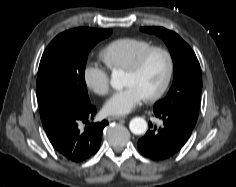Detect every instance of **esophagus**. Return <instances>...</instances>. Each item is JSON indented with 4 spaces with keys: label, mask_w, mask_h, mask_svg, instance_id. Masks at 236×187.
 I'll return each mask as SVG.
<instances>
[{
    "label": "esophagus",
    "mask_w": 236,
    "mask_h": 187,
    "mask_svg": "<svg viewBox=\"0 0 236 187\" xmlns=\"http://www.w3.org/2000/svg\"><path fill=\"white\" fill-rule=\"evenodd\" d=\"M110 119L111 120H121V119H126V116H112Z\"/></svg>",
    "instance_id": "esophagus-1"
}]
</instances>
